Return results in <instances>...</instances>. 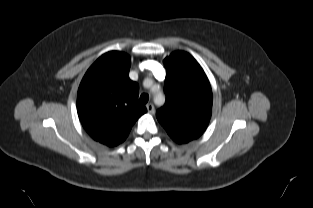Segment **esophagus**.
<instances>
[{
	"mask_svg": "<svg viewBox=\"0 0 313 208\" xmlns=\"http://www.w3.org/2000/svg\"><path fill=\"white\" fill-rule=\"evenodd\" d=\"M146 108H147L149 114H154L155 113V108H154L153 104H151V103L147 104Z\"/></svg>",
	"mask_w": 313,
	"mask_h": 208,
	"instance_id": "1",
	"label": "esophagus"
}]
</instances>
